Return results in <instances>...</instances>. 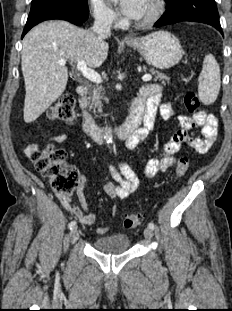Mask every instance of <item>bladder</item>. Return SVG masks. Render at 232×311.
Here are the masks:
<instances>
[{
	"instance_id": "obj_1",
	"label": "bladder",
	"mask_w": 232,
	"mask_h": 311,
	"mask_svg": "<svg viewBox=\"0 0 232 311\" xmlns=\"http://www.w3.org/2000/svg\"><path fill=\"white\" fill-rule=\"evenodd\" d=\"M130 248V239L124 233H112L94 240V249L104 253H120Z\"/></svg>"
}]
</instances>
